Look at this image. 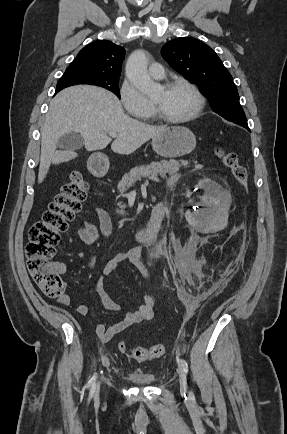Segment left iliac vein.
<instances>
[{"label": "left iliac vein", "instance_id": "left-iliac-vein-1", "mask_svg": "<svg viewBox=\"0 0 287 434\" xmlns=\"http://www.w3.org/2000/svg\"><path fill=\"white\" fill-rule=\"evenodd\" d=\"M179 375H180V385H181L182 392L187 393L188 387H187L186 374L181 367L179 368Z\"/></svg>", "mask_w": 287, "mask_h": 434}]
</instances>
